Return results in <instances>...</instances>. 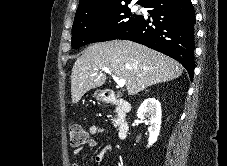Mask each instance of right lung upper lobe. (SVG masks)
I'll use <instances>...</instances> for the list:
<instances>
[{"label":"right lung upper lobe","instance_id":"cb5924a9","mask_svg":"<svg viewBox=\"0 0 227 166\" xmlns=\"http://www.w3.org/2000/svg\"><path fill=\"white\" fill-rule=\"evenodd\" d=\"M148 1L149 0H138L137 4L144 5ZM130 2L131 0H80L76 13L116 7L129 4Z\"/></svg>","mask_w":227,"mask_h":166}]
</instances>
